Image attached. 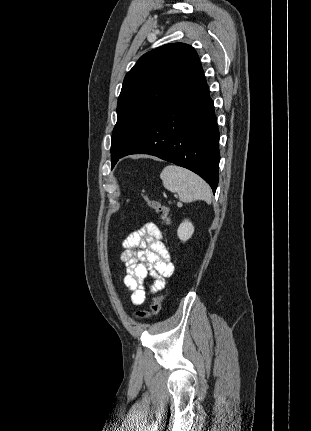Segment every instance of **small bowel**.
Segmentation results:
<instances>
[{"label": "small bowel", "instance_id": "1", "mask_svg": "<svg viewBox=\"0 0 311 431\" xmlns=\"http://www.w3.org/2000/svg\"><path fill=\"white\" fill-rule=\"evenodd\" d=\"M122 248L121 260L126 266L124 284L131 291L132 304L141 305L146 298L145 278H153L151 292H159L174 267L161 233L152 222L126 237Z\"/></svg>", "mask_w": 311, "mask_h": 431}]
</instances>
